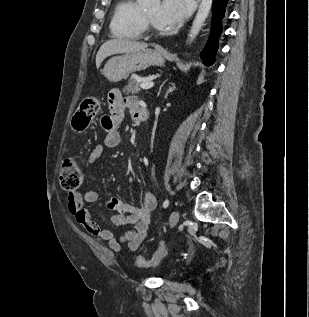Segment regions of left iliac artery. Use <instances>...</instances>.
Wrapping results in <instances>:
<instances>
[{
  "mask_svg": "<svg viewBox=\"0 0 309 317\" xmlns=\"http://www.w3.org/2000/svg\"><path fill=\"white\" fill-rule=\"evenodd\" d=\"M169 206V200L166 199L164 202H163V208H167Z\"/></svg>",
  "mask_w": 309,
  "mask_h": 317,
  "instance_id": "obj_1",
  "label": "left iliac artery"
}]
</instances>
